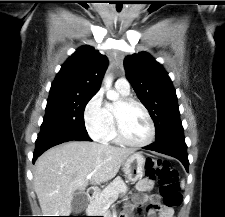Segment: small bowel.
I'll return each instance as SVG.
<instances>
[{
    "label": "small bowel",
    "instance_id": "c3829d8e",
    "mask_svg": "<svg viewBox=\"0 0 225 217\" xmlns=\"http://www.w3.org/2000/svg\"><path fill=\"white\" fill-rule=\"evenodd\" d=\"M153 187V181L150 178H144L136 184V188L140 192H145ZM149 202L148 213L150 217H155V211L159 210L158 217H174V211L172 208L166 207L164 205H159L158 195H142L134 198L133 203L126 206L128 212L132 211L134 207H141L143 204ZM121 217H129L128 215H123Z\"/></svg>",
    "mask_w": 225,
    "mask_h": 217
}]
</instances>
